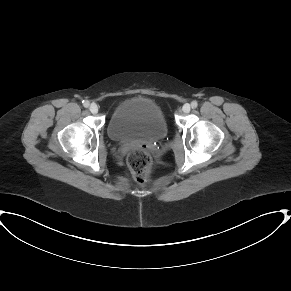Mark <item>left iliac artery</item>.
Instances as JSON below:
<instances>
[{
  "instance_id": "1",
  "label": "left iliac artery",
  "mask_w": 291,
  "mask_h": 291,
  "mask_svg": "<svg viewBox=\"0 0 291 291\" xmlns=\"http://www.w3.org/2000/svg\"><path fill=\"white\" fill-rule=\"evenodd\" d=\"M197 106H198V102L196 100H194V101L191 102V107L193 109L197 108Z\"/></svg>"
}]
</instances>
